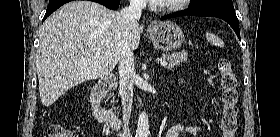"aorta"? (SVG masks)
<instances>
[{
	"mask_svg": "<svg viewBox=\"0 0 280 137\" xmlns=\"http://www.w3.org/2000/svg\"><path fill=\"white\" fill-rule=\"evenodd\" d=\"M149 135V120L145 112L139 114L137 121L136 137H148Z\"/></svg>",
	"mask_w": 280,
	"mask_h": 137,
	"instance_id": "1",
	"label": "aorta"
}]
</instances>
